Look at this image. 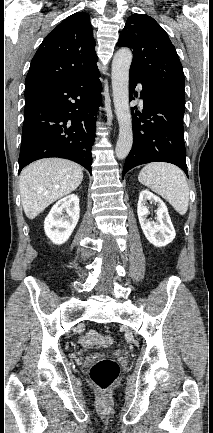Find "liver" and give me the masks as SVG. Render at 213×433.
<instances>
[{"label": "liver", "mask_w": 213, "mask_h": 433, "mask_svg": "<svg viewBox=\"0 0 213 433\" xmlns=\"http://www.w3.org/2000/svg\"><path fill=\"white\" fill-rule=\"evenodd\" d=\"M83 180L80 165L61 158H46L25 167L19 179L22 206L34 219L50 204L77 189Z\"/></svg>", "instance_id": "liver-1"}]
</instances>
